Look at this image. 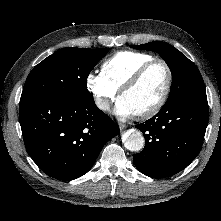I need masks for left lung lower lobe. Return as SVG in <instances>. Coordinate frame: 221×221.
Instances as JSON below:
<instances>
[{
	"label": "left lung lower lobe",
	"mask_w": 221,
	"mask_h": 221,
	"mask_svg": "<svg viewBox=\"0 0 221 221\" xmlns=\"http://www.w3.org/2000/svg\"><path fill=\"white\" fill-rule=\"evenodd\" d=\"M207 124V97L167 101L154 117L136 125L145 137L143 151L133 158L137 169L152 178L180 172L200 152Z\"/></svg>",
	"instance_id": "obj_1"
}]
</instances>
